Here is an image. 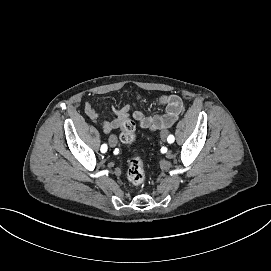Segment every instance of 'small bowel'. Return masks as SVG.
Here are the masks:
<instances>
[{
    "label": "small bowel",
    "mask_w": 271,
    "mask_h": 271,
    "mask_svg": "<svg viewBox=\"0 0 271 271\" xmlns=\"http://www.w3.org/2000/svg\"><path fill=\"white\" fill-rule=\"evenodd\" d=\"M157 102L158 105L164 107V113H152L150 115L142 111H135L133 113L134 119L142 129L155 131L168 128L173 125L184 109L182 99L175 94H162L158 97ZM113 111L115 118L111 121H102L101 123L102 130L106 134L118 129L122 122L129 117L130 105L126 104L119 108L115 107ZM84 112L93 121L99 119V113L89 102L84 103Z\"/></svg>",
    "instance_id": "c3829d8e"
}]
</instances>
